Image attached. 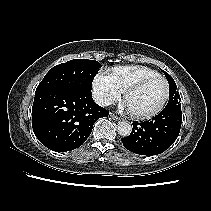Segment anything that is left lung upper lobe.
<instances>
[{
	"mask_svg": "<svg viewBox=\"0 0 211 211\" xmlns=\"http://www.w3.org/2000/svg\"><path fill=\"white\" fill-rule=\"evenodd\" d=\"M163 72L169 82V87H170L169 101L166 106L181 105L180 104L181 98L173 78L167 72L165 71Z\"/></svg>",
	"mask_w": 211,
	"mask_h": 211,
	"instance_id": "left-lung-upper-lobe-1",
	"label": "left lung upper lobe"
}]
</instances>
